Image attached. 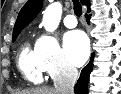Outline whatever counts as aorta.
Here are the masks:
<instances>
[{"mask_svg": "<svg viewBox=\"0 0 121 94\" xmlns=\"http://www.w3.org/2000/svg\"><path fill=\"white\" fill-rule=\"evenodd\" d=\"M62 16V5L59 2L50 4L43 12L42 25L48 32L55 31Z\"/></svg>", "mask_w": 121, "mask_h": 94, "instance_id": "1", "label": "aorta"}]
</instances>
